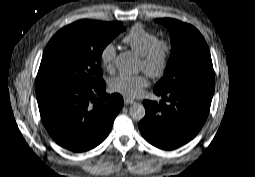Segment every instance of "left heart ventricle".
I'll use <instances>...</instances> for the list:
<instances>
[{"label": "left heart ventricle", "instance_id": "obj_1", "mask_svg": "<svg viewBox=\"0 0 255 177\" xmlns=\"http://www.w3.org/2000/svg\"><path fill=\"white\" fill-rule=\"evenodd\" d=\"M160 56H161V52H158V53H157V56H156V62L160 59ZM139 69H140L141 71H144V70H145V65H144V63L142 62V60L140 61V67H139Z\"/></svg>", "mask_w": 255, "mask_h": 177}]
</instances>
